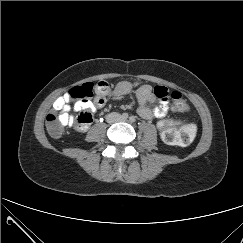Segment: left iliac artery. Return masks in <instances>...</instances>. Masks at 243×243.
Returning <instances> with one entry per match:
<instances>
[{"mask_svg": "<svg viewBox=\"0 0 243 243\" xmlns=\"http://www.w3.org/2000/svg\"><path fill=\"white\" fill-rule=\"evenodd\" d=\"M129 121H130L131 123H134V122L136 121V119H135L134 116H131V117L129 118Z\"/></svg>", "mask_w": 243, "mask_h": 243, "instance_id": "44dca946", "label": "left iliac artery"}]
</instances>
